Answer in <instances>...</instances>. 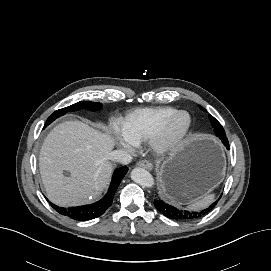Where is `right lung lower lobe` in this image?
<instances>
[{
	"label": "right lung lower lobe",
	"instance_id": "98d812e1",
	"mask_svg": "<svg viewBox=\"0 0 271 271\" xmlns=\"http://www.w3.org/2000/svg\"><path fill=\"white\" fill-rule=\"evenodd\" d=\"M127 171V166L116 169L113 174L108 193L102 200L94 204L70 208L58 207L52 203L50 204L58 213L68 216L74 220L85 221L97 218L105 213V211L112 205L114 194Z\"/></svg>",
	"mask_w": 271,
	"mask_h": 271
}]
</instances>
